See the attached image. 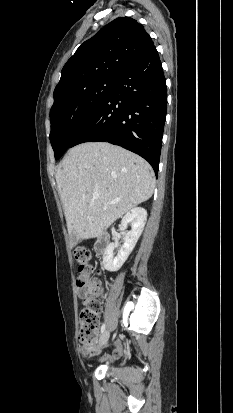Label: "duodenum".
<instances>
[{
    "mask_svg": "<svg viewBox=\"0 0 233 413\" xmlns=\"http://www.w3.org/2000/svg\"><path fill=\"white\" fill-rule=\"evenodd\" d=\"M109 243V235L106 232H101L97 236L94 249L98 254L103 253Z\"/></svg>",
    "mask_w": 233,
    "mask_h": 413,
    "instance_id": "1",
    "label": "duodenum"
}]
</instances>
